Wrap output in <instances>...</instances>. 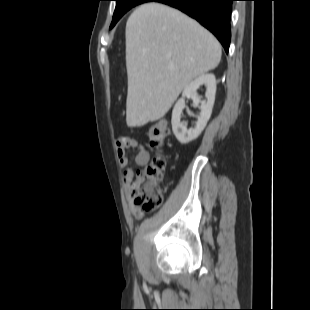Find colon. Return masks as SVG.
<instances>
[{
	"mask_svg": "<svg viewBox=\"0 0 310 310\" xmlns=\"http://www.w3.org/2000/svg\"><path fill=\"white\" fill-rule=\"evenodd\" d=\"M170 129L165 122H156L147 129L148 143L156 151L164 144ZM165 159L161 155L153 158L146 167L136 171L129 183L133 203L144 211L159 208L163 202V189L160 182L165 168Z\"/></svg>",
	"mask_w": 310,
	"mask_h": 310,
	"instance_id": "colon-1",
	"label": "colon"
}]
</instances>
